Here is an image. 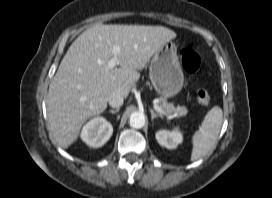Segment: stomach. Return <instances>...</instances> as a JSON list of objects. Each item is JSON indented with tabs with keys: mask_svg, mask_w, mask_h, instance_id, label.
<instances>
[{
	"mask_svg": "<svg viewBox=\"0 0 272 198\" xmlns=\"http://www.w3.org/2000/svg\"><path fill=\"white\" fill-rule=\"evenodd\" d=\"M149 77L162 98L173 97L181 91L184 75L175 43L168 41L154 54L149 67Z\"/></svg>",
	"mask_w": 272,
	"mask_h": 198,
	"instance_id": "obj_1",
	"label": "stomach"
}]
</instances>
